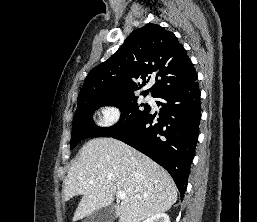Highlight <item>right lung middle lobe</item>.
Listing matches in <instances>:
<instances>
[{"instance_id": "right-lung-middle-lobe-1", "label": "right lung middle lobe", "mask_w": 257, "mask_h": 222, "mask_svg": "<svg viewBox=\"0 0 257 222\" xmlns=\"http://www.w3.org/2000/svg\"><path fill=\"white\" fill-rule=\"evenodd\" d=\"M102 106H115L121 110V117L117 124L108 128H101L94 124L92 114ZM149 110L150 106L140 103L135 95L96 96L85 99L77 104L70 147L73 149L82 139L90 137H112L131 127Z\"/></svg>"}]
</instances>
